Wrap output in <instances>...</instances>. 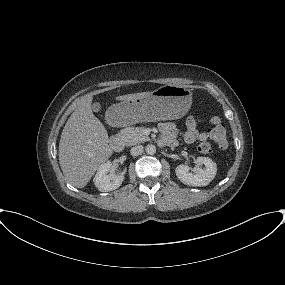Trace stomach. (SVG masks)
<instances>
[{
    "label": "stomach",
    "instance_id": "obj_1",
    "mask_svg": "<svg viewBox=\"0 0 285 285\" xmlns=\"http://www.w3.org/2000/svg\"><path fill=\"white\" fill-rule=\"evenodd\" d=\"M191 104L190 89L164 85L142 98L112 105L108 110V116L120 125L173 120L184 116Z\"/></svg>",
    "mask_w": 285,
    "mask_h": 285
}]
</instances>
